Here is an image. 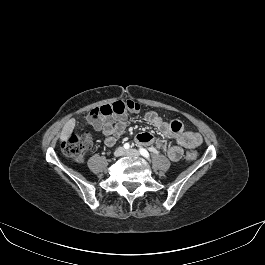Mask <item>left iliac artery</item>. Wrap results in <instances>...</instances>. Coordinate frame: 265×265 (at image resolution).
Instances as JSON below:
<instances>
[{
    "mask_svg": "<svg viewBox=\"0 0 265 265\" xmlns=\"http://www.w3.org/2000/svg\"><path fill=\"white\" fill-rule=\"evenodd\" d=\"M139 152H140V154H141L143 157H145V158H147V159L150 158V155H149V153H148V151H147L146 149H144V148H140V149H139Z\"/></svg>",
    "mask_w": 265,
    "mask_h": 265,
    "instance_id": "44dca946",
    "label": "left iliac artery"
}]
</instances>
